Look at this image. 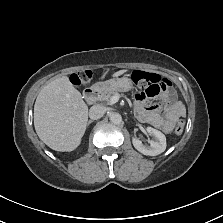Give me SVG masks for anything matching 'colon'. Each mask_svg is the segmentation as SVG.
<instances>
[{
  "instance_id": "5ec220e1",
  "label": "colon",
  "mask_w": 223,
  "mask_h": 223,
  "mask_svg": "<svg viewBox=\"0 0 223 223\" xmlns=\"http://www.w3.org/2000/svg\"><path fill=\"white\" fill-rule=\"evenodd\" d=\"M91 72L90 71H81L75 74H72L70 79L71 82L80 85L83 83H87L91 80ZM132 81L142 87L151 88L157 90L158 87L163 88L165 84V79L155 73H149L144 71L135 70L131 74ZM184 129V121L179 119L174 128V133L179 135L183 132Z\"/></svg>"
}]
</instances>
